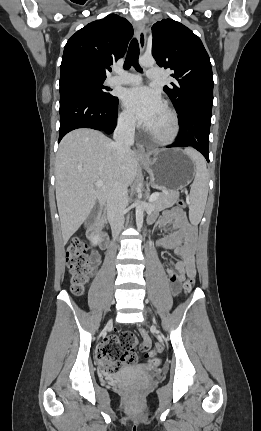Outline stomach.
Wrapping results in <instances>:
<instances>
[{"label": "stomach", "instance_id": "obj_1", "mask_svg": "<svg viewBox=\"0 0 261 431\" xmlns=\"http://www.w3.org/2000/svg\"><path fill=\"white\" fill-rule=\"evenodd\" d=\"M153 187L176 191L186 187L195 177V163L181 150H162L153 158L141 159Z\"/></svg>", "mask_w": 261, "mask_h": 431}]
</instances>
